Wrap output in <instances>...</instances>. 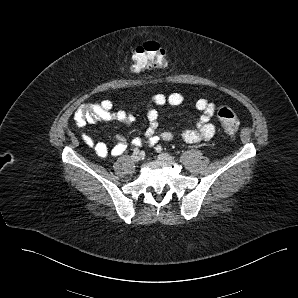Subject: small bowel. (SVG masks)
<instances>
[{
  "label": "small bowel",
  "mask_w": 298,
  "mask_h": 298,
  "mask_svg": "<svg viewBox=\"0 0 298 298\" xmlns=\"http://www.w3.org/2000/svg\"><path fill=\"white\" fill-rule=\"evenodd\" d=\"M184 97L180 93L156 94L148 98L145 102L147 109L148 127L145 130L144 139L135 137L131 143L135 146L142 144L155 145L160 141H170L174 135L170 131L157 133L159 126V112L156 107L171 105L178 106L182 104ZM196 109L200 112L195 121L194 129L184 130L181 138L187 143H198L208 141L213 138L216 132L215 125L211 119L215 112V104L205 98L198 99L195 103ZM97 121L120 122L125 125H131L135 121V117L125 110H113V103L108 100H102L97 103H88L81 105L74 114V122L76 126L85 128L88 124ZM83 142L100 157L120 156L128 148V142L123 136L117 137V143L109 148L103 142L95 141L88 132L81 135Z\"/></svg>",
  "instance_id": "c3829d8e"
}]
</instances>
